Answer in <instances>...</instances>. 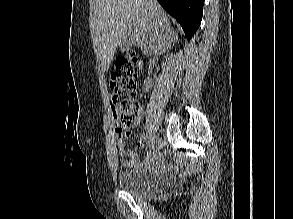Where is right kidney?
<instances>
[{"instance_id":"1","label":"right kidney","mask_w":293,"mask_h":219,"mask_svg":"<svg viewBox=\"0 0 293 219\" xmlns=\"http://www.w3.org/2000/svg\"><path fill=\"white\" fill-rule=\"evenodd\" d=\"M150 86H151V82H150V80L144 82V88H145L146 90H148V89L150 88Z\"/></svg>"}]
</instances>
